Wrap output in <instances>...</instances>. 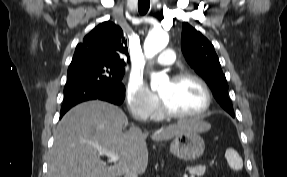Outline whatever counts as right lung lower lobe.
Masks as SVG:
<instances>
[{
	"instance_id": "obj_1",
	"label": "right lung lower lobe",
	"mask_w": 287,
	"mask_h": 177,
	"mask_svg": "<svg viewBox=\"0 0 287 177\" xmlns=\"http://www.w3.org/2000/svg\"><path fill=\"white\" fill-rule=\"evenodd\" d=\"M125 97L122 83H105L90 78L67 81L64 88V101L60 118L73 106L88 100H103L113 104H121Z\"/></svg>"
}]
</instances>
